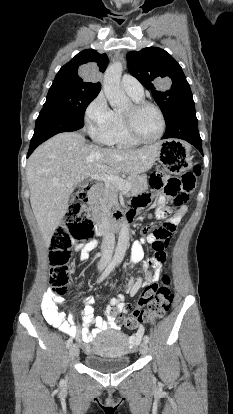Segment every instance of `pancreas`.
<instances>
[{
  "label": "pancreas",
  "mask_w": 233,
  "mask_h": 414,
  "mask_svg": "<svg viewBox=\"0 0 233 414\" xmlns=\"http://www.w3.org/2000/svg\"><path fill=\"white\" fill-rule=\"evenodd\" d=\"M125 181L131 184V193L141 192L145 189V180L138 174H130ZM119 188L113 184H105L101 193V202L106 210L118 207Z\"/></svg>",
  "instance_id": "pancreas-1"
}]
</instances>
